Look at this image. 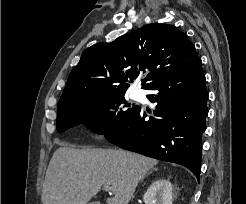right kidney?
I'll return each instance as SVG.
<instances>
[{
	"label": "right kidney",
	"instance_id": "ca27d5eb",
	"mask_svg": "<svg viewBox=\"0 0 246 204\" xmlns=\"http://www.w3.org/2000/svg\"><path fill=\"white\" fill-rule=\"evenodd\" d=\"M172 185L170 181H154L143 196L145 204H172Z\"/></svg>",
	"mask_w": 246,
	"mask_h": 204
}]
</instances>
